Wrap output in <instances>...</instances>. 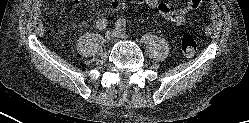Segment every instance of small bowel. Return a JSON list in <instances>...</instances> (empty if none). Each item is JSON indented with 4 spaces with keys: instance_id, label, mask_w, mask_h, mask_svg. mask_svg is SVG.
<instances>
[{
    "instance_id": "small-bowel-1",
    "label": "small bowel",
    "mask_w": 249,
    "mask_h": 123,
    "mask_svg": "<svg viewBox=\"0 0 249 123\" xmlns=\"http://www.w3.org/2000/svg\"><path fill=\"white\" fill-rule=\"evenodd\" d=\"M74 5H79L80 0H73ZM129 4L145 5L150 9L158 11L161 16L176 25L185 22L189 13L197 10L201 5V0H189L186 4L173 8L164 0H112L107 8L108 13L125 9ZM46 14L50 15L51 11L47 5Z\"/></svg>"
}]
</instances>
